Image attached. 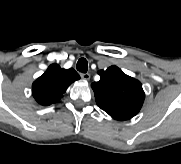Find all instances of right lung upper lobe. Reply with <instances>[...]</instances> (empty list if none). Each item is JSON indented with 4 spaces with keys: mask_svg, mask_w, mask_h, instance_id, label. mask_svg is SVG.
Listing matches in <instances>:
<instances>
[{
    "mask_svg": "<svg viewBox=\"0 0 181 164\" xmlns=\"http://www.w3.org/2000/svg\"><path fill=\"white\" fill-rule=\"evenodd\" d=\"M79 79L80 76L74 69H61L58 64H52L32 84L33 97L43 106L56 103L69 85Z\"/></svg>",
    "mask_w": 181,
    "mask_h": 164,
    "instance_id": "right-lung-upper-lobe-1",
    "label": "right lung upper lobe"
}]
</instances>
